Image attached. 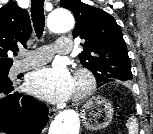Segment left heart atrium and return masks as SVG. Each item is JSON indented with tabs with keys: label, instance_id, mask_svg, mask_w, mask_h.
<instances>
[{
	"label": "left heart atrium",
	"instance_id": "obj_1",
	"mask_svg": "<svg viewBox=\"0 0 153 134\" xmlns=\"http://www.w3.org/2000/svg\"><path fill=\"white\" fill-rule=\"evenodd\" d=\"M27 88L37 97L61 103L74 94V79L65 65L57 63L33 71L28 76Z\"/></svg>",
	"mask_w": 153,
	"mask_h": 134
}]
</instances>
